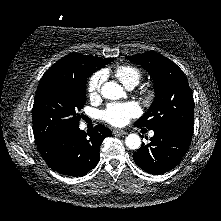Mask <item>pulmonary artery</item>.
Here are the masks:
<instances>
[{
	"instance_id": "pulmonary-artery-1",
	"label": "pulmonary artery",
	"mask_w": 221,
	"mask_h": 221,
	"mask_svg": "<svg viewBox=\"0 0 221 221\" xmlns=\"http://www.w3.org/2000/svg\"><path fill=\"white\" fill-rule=\"evenodd\" d=\"M134 88V86H130V87H128V89H133ZM150 136H153L154 135V133L153 132H150V134H149Z\"/></svg>"
}]
</instances>
